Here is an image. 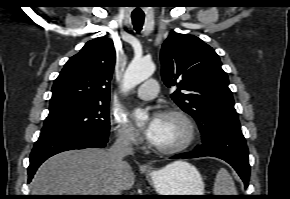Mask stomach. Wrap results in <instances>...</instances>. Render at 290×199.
<instances>
[{"mask_svg":"<svg viewBox=\"0 0 290 199\" xmlns=\"http://www.w3.org/2000/svg\"><path fill=\"white\" fill-rule=\"evenodd\" d=\"M158 170L147 172V177L159 195H203L204 182L199 171L187 162L177 161ZM173 198L194 199L198 197L177 196Z\"/></svg>","mask_w":290,"mask_h":199,"instance_id":"obj_1","label":"stomach"}]
</instances>
